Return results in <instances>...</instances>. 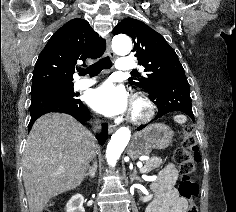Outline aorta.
I'll return each instance as SVG.
<instances>
[{
	"label": "aorta",
	"mask_w": 236,
	"mask_h": 212,
	"mask_svg": "<svg viewBox=\"0 0 236 212\" xmlns=\"http://www.w3.org/2000/svg\"><path fill=\"white\" fill-rule=\"evenodd\" d=\"M113 50L120 55L129 53L132 49V42L126 35H117L112 40ZM131 137V131L127 127L119 128L112 136L107 145L106 159L110 166L114 167L127 146Z\"/></svg>",
	"instance_id": "aorta-1"
}]
</instances>
